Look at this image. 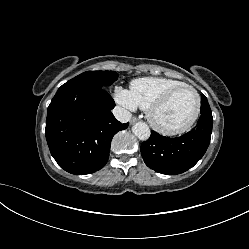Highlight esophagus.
I'll list each match as a JSON object with an SVG mask.
<instances>
[{
  "label": "esophagus",
  "instance_id": "esophagus-1",
  "mask_svg": "<svg viewBox=\"0 0 249 249\" xmlns=\"http://www.w3.org/2000/svg\"><path fill=\"white\" fill-rule=\"evenodd\" d=\"M136 121H138V118H137V117H132L130 123L133 124V123H135Z\"/></svg>",
  "mask_w": 249,
  "mask_h": 249
}]
</instances>
